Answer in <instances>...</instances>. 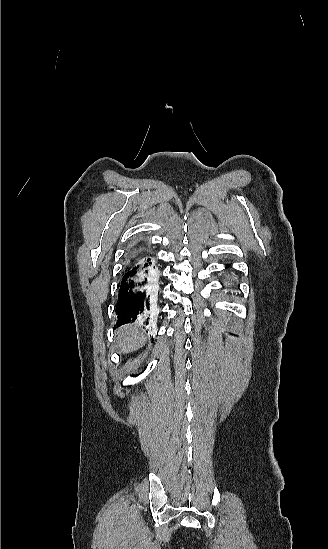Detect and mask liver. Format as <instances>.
Instances as JSON below:
<instances>
[{"label":"liver","mask_w":328,"mask_h":549,"mask_svg":"<svg viewBox=\"0 0 328 549\" xmlns=\"http://www.w3.org/2000/svg\"><path fill=\"white\" fill-rule=\"evenodd\" d=\"M115 333L117 335L116 343L120 349V353H123V355L137 351V349L145 345V335L140 333L139 329L133 327V325L120 327Z\"/></svg>","instance_id":"obj_1"}]
</instances>
